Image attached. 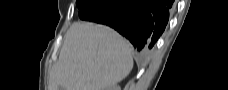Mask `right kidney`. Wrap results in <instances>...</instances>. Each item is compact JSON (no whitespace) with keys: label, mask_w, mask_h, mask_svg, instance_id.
<instances>
[{"label":"right kidney","mask_w":228,"mask_h":90,"mask_svg":"<svg viewBox=\"0 0 228 90\" xmlns=\"http://www.w3.org/2000/svg\"><path fill=\"white\" fill-rule=\"evenodd\" d=\"M107 90H121V88L120 86L115 85V86H112L111 88H108Z\"/></svg>","instance_id":"right-kidney-1"}]
</instances>
